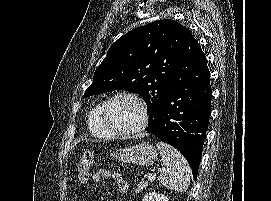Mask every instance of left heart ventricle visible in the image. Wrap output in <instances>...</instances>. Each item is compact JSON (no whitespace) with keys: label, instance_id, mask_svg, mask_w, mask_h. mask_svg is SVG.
Returning a JSON list of instances; mask_svg holds the SVG:
<instances>
[{"label":"left heart ventricle","instance_id":"1","mask_svg":"<svg viewBox=\"0 0 271 201\" xmlns=\"http://www.w3.org/2000/svg\"><path fill=\"white\" fill-rule=\"evenodd\" d=\"M112 125L122 131L134 129L141 121V110L137 103L130 98L115 99L108 108Z\"/></svg>","mask_w":271,"mask_h":201}]
</instances>
